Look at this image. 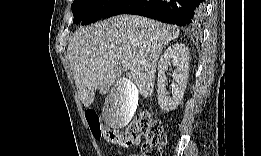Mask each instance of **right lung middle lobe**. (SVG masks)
<instances>
[{
  "instance_id": "1",
  "label": "right lung middle lobe",
  "mask_w": 261,
  "mask_h": 156,
  "mask_svg": "<svg viewBox=\"0 0 261 156\" xmlns=\"http://www.w3.org/2000/svg\"><path fill=\"white\" fill-rule=\"evenodd\" d=\"M121 0H75L71 6L73 23L87 25L103 18L120 4Z\"/></svg>"
}]
</instances>
